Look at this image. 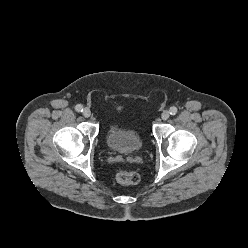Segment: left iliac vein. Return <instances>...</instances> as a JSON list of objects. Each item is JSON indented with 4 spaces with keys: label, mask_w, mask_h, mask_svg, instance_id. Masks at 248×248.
<instances>
[{
    "label": "left iliac vein",
    "mask_w": 248,
    "mask_h": 248,
    "mask_svg": "<svg viewBox=\"0 0 248 248\" xmlns=\"http://www.w3.org/2000/svg\"><path fill=\"white\" fill-rule=\"evenodd\" d=\"M169 117H170L169 111L165 110L162 112V114H161L162 120H167Z\"/></svg>",
    "instance_id": "left-iliac-vein-1"
}]
</instances>
